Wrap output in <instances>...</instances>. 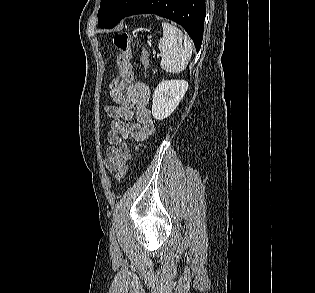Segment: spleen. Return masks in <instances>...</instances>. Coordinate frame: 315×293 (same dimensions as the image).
<instances>
[{"mask_svg":"<svg viewBox=\"0 0 315 293\" xmlns=\"http://www.w3.org/2000/svg\"><path fill=\"white\" fill-rule=\"evenodd\" d=\"M163 36L158 48L162 54L161 68L169 73H180L192 56L191 40L176 26L163 22Z\"/></svg>","mask_w":315,"mask_h":293,"instance_id":"spleen-1","label":"spleen"}]
</instances>
